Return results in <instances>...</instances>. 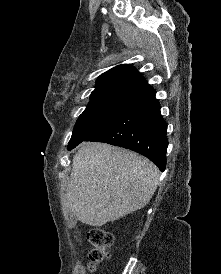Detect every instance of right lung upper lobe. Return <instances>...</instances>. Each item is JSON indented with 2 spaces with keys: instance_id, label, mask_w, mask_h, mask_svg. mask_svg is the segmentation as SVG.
<instances>
[{
  "instance_id": "obj_1",
  "label": "right lung upper lobe",
  "mask_w": 221,
  "mask_h": 274,
  "mask_svg": "<svg viewBox=\"0 0 221 274\" xmlns=\"http://www.w3.org/2000/svg\"><path fill=\"white\" fill-rule=\"evenodd\" d=\"M152 87L131 65H119L99 76L91 99L116 98L135 101Z\"/></svg>"
}]
</instances>
